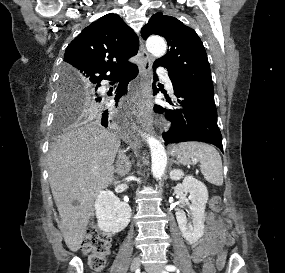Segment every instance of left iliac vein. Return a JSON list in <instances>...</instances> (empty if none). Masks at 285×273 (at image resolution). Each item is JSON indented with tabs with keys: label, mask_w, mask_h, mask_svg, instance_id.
<instances>
[{
	"label": "left iliac vein",
	"mask_w": 285,
	"mask_h": 273,
	"mask_svg": "<svg viewBox=\"0 0 285 273\" xmlns=\"http://www.w3.org/2000/svg\"><path fill=\"white\" fill-rule=\"evenodd\" d=\"M146 271L148 273H163V266L162 265H148L146 266Z\"/></svg>",
	"instance_id": "1"
}]
</instances>
